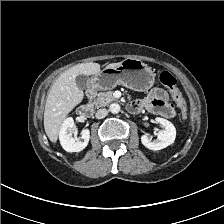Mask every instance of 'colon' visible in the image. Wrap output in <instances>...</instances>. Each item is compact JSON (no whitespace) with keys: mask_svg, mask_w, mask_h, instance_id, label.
<instances>
[{"mask_svg":"<svg viewBox=\"0 0 224 224\" xmlns=\"http://www.w3.org/2000/svg\"><path fill=\"white\" fill-rule=\"evenodd\" d=\"M159 80L165 87L169 89L173 100L176 102L183 116L186 117L187 103L183 98L182 93L177 85L176 78L168 71L163 70L159 74Z\"/></svg>","mask_w":224,"mask_h":224,"instance_id":"obj_1","label":"colon"}]
</instances>
